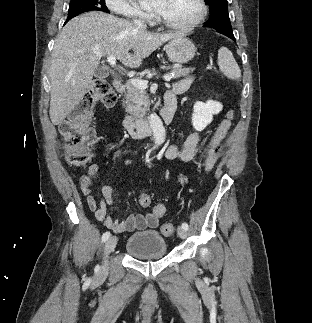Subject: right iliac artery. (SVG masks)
Here are the masks:
<instances>
[{
    "instance_id": "obj_1",
    "label": "right iliac artery",
    "mask_w": 312,
    "mask_h": 323,
    "mask_svg": "<svg viewBox=\"0 0 312 323\" xmlns=\"http://www.w3.org/2000/svg\"><path fill=\"white\" fill-rule=\"evenodd\" d=\"M110 237V232L106 231L102 235V241L105 242Z\"/></svg>"
}]
</instances>
